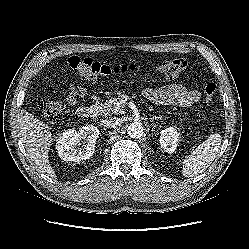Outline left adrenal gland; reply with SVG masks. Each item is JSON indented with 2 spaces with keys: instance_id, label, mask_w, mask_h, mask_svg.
<instances>
[{
  "instance_id": "1",
  "label": "left adrenal gland",
  "mask_w": 249,
  "mask_h": 249,
  "mask_svg": "<svg viewBox=\"0 0 249 249\" xmlns=\"http://www.w3.org/2000/svg\"><path fill=\"white\" fill-rule=\"evenodd\" d=\"M151 120H152V121H154V120H157V121H158V120H159V117L154 116L153 118H151Z\"/></svg>"
}]
</instances>
